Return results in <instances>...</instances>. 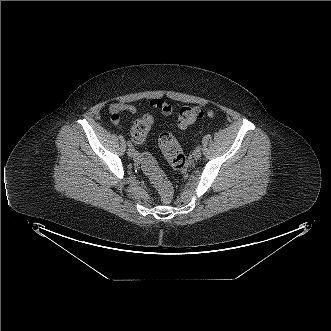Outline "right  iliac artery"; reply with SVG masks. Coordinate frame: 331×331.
<instances>
[{
  "label": "right iliac artery",
  "instance_id": "obj_1",
  "mask_svg": "<svg viewBox=\"0 0 331 331\" xmlns=\"http://www.w3.org/2000/svg\"><path fill=\"white\" fill-rule=\"evenodd\" d=\"M127 145H128L129 147H132V143H131V141H127Z\"/></svg>",
  "mask_w": 331,
  "mask_h": 331
}]
</instances>
